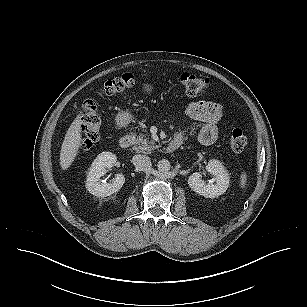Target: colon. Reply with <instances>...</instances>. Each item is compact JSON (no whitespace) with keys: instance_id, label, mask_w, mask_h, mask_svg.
<instances>
[{"instance_id":"colon-1","label":"colon","mask_w":307,"mask_h":307,"mask_svg":"<svg viewBox=\"0 0 307 307\" xmlns=\"http://www.w3.org/2000/svg\"><path fill=\"white\" fill-rule=\"evenodd\" d=\"M179 83L185 95L189 97L204 96L210 89L211 82L208 78L198 77L191 73H181ZM134 84V77L125 74L108 81L101 89V94L107 97L123 95ZM82 121L80 147L89 150L100 139L101 117L93 102H86L80 111ZM249 138L244 132L236 128L231 132L229 145L234 152H241L249 145Z\"/></svg>"}]
</instances>
